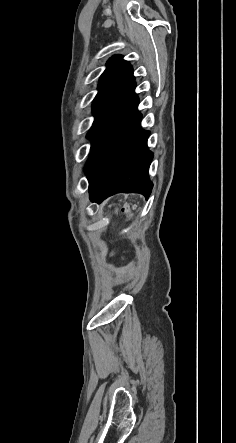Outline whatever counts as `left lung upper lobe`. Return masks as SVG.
Returning a JSON list of instances; mask_svg holds the SVG:
<instances>
[{
  "mask_svg": "<svg viewBox=\"0 0 236 443\" xmlns=\"http://www.w3.org/2000/svg\"><path fill=\"white\" fill-rule=\"evenodd\" d=\"M106 65L107 68L99 80V92L93 101L95 120L113 106L135 81L132 66L122 56L111 57Z\"/></svg>",
  "mask_w": 236,
  "mask_h": 443,
  "instance_id": "5c2ea615",
  "label": "left lung upper lobe"
}]
</instances>
